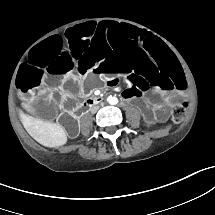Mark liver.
Segmentation results:
<instances>
[{
  "label": "liver",
  "instance_id": "obj_1",
  "mask_svg": "<svg viewBox=\"0 0 215 215\" xmlns=\"http://www.w3.org/2000/svg\"><path fill=\"white\" fill-rule=\"evenodd\" d=\"M22 123L27 132L39 143L46 146L64 144L67 140L64 128L32 116L21 114Z\"/></svg>",
  "mask_w": 215,
  "mask_h": 215
}]
</instances>
